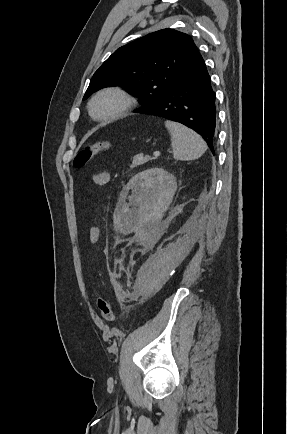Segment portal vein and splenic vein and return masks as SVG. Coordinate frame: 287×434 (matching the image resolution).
I'll return each instance as SVG.
<instances>
[{"instance_id":"1","label":"portal vein and splenic vein","mask_w":287,"mask_h":434,"mask_svg":"<svg viewBox=\"0 0 287 434\" xmlns=\"http://www.w3.org/2000/svg\"><path fill=\"white\" fill-rule=\"evenodd\" d=\"M160 155V152L159 151H155L154 153H153V156L154 157H158Z\"/></svg>"}]
</instances>
